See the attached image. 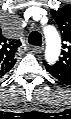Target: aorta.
<instances>
[{
  "instance_id": "1",
  "label": "aorta",
  "mask_w": 71,
  "mask_h": 119,
  "mask_svg": "<svg viewBox=\"0 0 71 119\" xmlns=\"http://www.w3.org/2000/svg\"><path fill=\"white\" fill-rule=\"evenodd\" d=\"M45 36L47 42L45 58L49 63H54L60 54L61 39L54 27H48Z\"/></svg>"
}]
</instances>
